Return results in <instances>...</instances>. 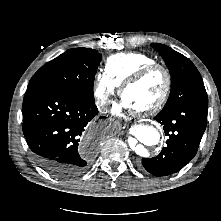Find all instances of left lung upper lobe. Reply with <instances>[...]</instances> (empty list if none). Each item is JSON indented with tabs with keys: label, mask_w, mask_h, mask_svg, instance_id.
<instances>
[{
	"label": "left lung upper lobe",
	"mask_w": 221,
	"mask_h": 221,
	"mask_svg": "<svg viewBox=\"0 0 221 221\" xmlns=\"http://www.w3.org/2000/svg\"><path fill=\"white\" fill-rule=\"evenodd\" d=\"M151 46L160 53L171 75L170 96L162 110L190 101L208 102L202 77L187 57L163 44L152 43Z\"/></svg>",
	"instance_id": "left-lung-upper-lobe-1"
}]
</instances>
